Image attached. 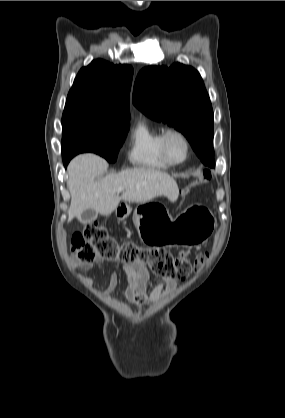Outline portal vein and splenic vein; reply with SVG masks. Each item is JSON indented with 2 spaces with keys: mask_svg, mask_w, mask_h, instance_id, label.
Masks as SVG:
<instances>
[{
  "mask_svg": "<svg viewBox=\"0 0 285 418\" xmlns=\"http://www.w3.org/2000/svg\"><path fill=\"white\" fill-rule=\"evenodd\" d=\"M123 191H124V189H123V188H118V189H117V192H118V193L123 192Z\"/></svg>",
  "mask_w": 285,
  "mask_h": 418,
  "instance_id": "portal-vein-and-splenic-vein-1",
  "label": "portal vein and splenic vein"
}]
</instances>
